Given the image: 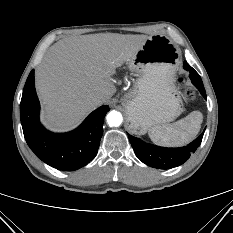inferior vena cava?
Instances as JSON below:
<instances>
[{
  "instance_id": "1",
  "label": "inferior vena cava",
  "mask_w": 233,
  "mask_h": 233,
  "mask_svg": "<svg viewBox=\"0 0 233 233\" xmlns=\"http://www.w3.org/2000/svg\"><path fill=\"white\" fill-rule=\"evenodd\" d=\"M102 98H103V96L100 95V94H97V95L95 96V100H97V101L101 100Z\"/></svg>"
}]
</instances>
